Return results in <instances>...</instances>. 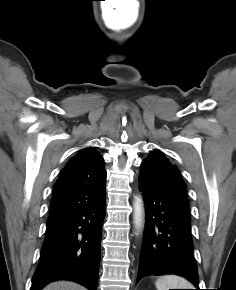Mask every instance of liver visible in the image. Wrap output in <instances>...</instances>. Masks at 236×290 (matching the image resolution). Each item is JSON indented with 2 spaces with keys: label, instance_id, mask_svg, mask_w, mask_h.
Masks as SVG:
<instances>
[{
  "label": "liver",
  "instance_id": "6515ba94",
  "mask_svg": "<svg viewBox=\"0 0 236 290\" xmlns=\"http://www.w3.org/2000/svg\"><path fill=\"white\" fill-rule=\"evenodd\" d=\"M43 290H87L71 281H58L47 285Z\"/></svg>",
  "mask_w": 236,
  "mask_h": 290
}]
</instances>
